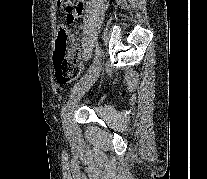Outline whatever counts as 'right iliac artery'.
I'll list each match as a JSON object with an SVG mask.
<instances>
[{
    "label": "right iliac artery",
    "instance_id": "1",
    "mask_svg": "<svg viewBox=\"0 0 207 179\" xmlns=\"http://www.w3.org/2000/svg\"><path fill=\"white\" fill-rule=\"evenodd\" d=\"M99 59H100V50H99V47H98V44L96 45V57H95V61H94V64L89 72L80 80V82L76 83L70 90V96H72V94L75 93V91L80 87L81 84H83L84 82L87 81V79L90 77V75L96 70V64H98L99 62ZM64 110H65V104L64 106L62 107V111H61V116H63L64 114Z\"/></svg>",
    "mask_w": 207,
    "mask_h": 179
}]
</instances>
